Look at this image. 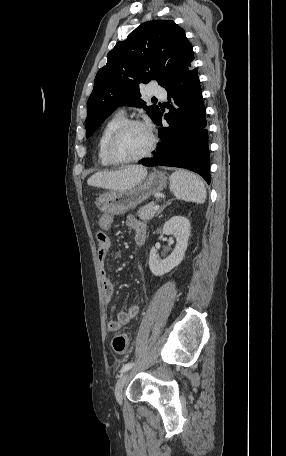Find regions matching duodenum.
I'll use <instances>...</instances> for the list:
<instances>
[{
    "label": "duodenum",
    "mask_w": 286,
    "mask_h": 456,
    "mask_svg": "<svg viewBox=\"0 0 286 456\" xmlns=\"http://www.w3.org/2000/svg\"><path fill=\"white\" fill-rule=\"evenodd\" d=\"M145 239H146V236H141V237L137 238L136 242L138 245H143L145 242Z\"/></svg>",
    "instance_id": "duodenum-1"
}]
</instances>
